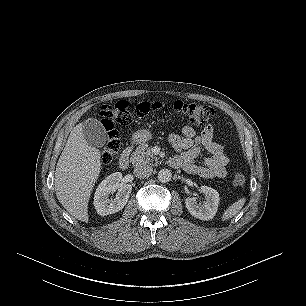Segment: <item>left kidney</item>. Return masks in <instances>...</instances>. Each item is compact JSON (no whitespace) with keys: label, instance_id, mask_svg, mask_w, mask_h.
I'll return each instance as SVG.
<instances>
[{"label":"left kidney","instance_id":"5707ae66","mask_svg":"<svg viewBox=\"0 0 306 306\" xmlns=\"http://www.w3.org/2000/svg\"><path fill=\"white\" fill-rule=\"evenodd\" d=\"M200 192L205 195L206 201L197 203L196 198H186L185 204L189 213L201 220H211L214 218L219 204V193L208 186H201Z\"/></svg>","mask_w":306,"mask_h":306}]
</instances>
